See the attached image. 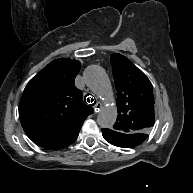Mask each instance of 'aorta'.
I'll use <instances>...</instances> for the list:
<instances>
[{"label": "aorta", "instance_id": "762f6f07", "mask_svg": "<svg viewBox=\"0 0 193 193\" xmlns=\"http://www.w3.org/2000/svg\"><path fill=\"white\" fill-rule=\"evenodd\" d=\"M84 77L90 90L105 104L98 114V125L102 128L112 127L117 118V107L108 75L102 67L91 65L86 68Z\"/></svg>", "mask_w": 193, "mask_h": 193}]
</instances>
